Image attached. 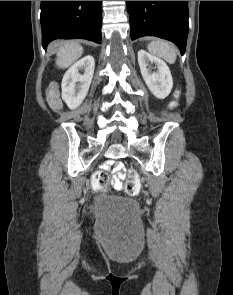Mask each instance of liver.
Wrapping results in <instances>:
<instances>
[{
  "mask_svg": "<svg viewBox=\"0 0 233 295\" xmlns=\"http://www.w3.org/2000/svg\"><path fill=\"white\" fill-rule=\"evenodd\" d=\"M52 46L58 48L56 65L59 68H67L83 54L82 46L75 41H57Z\"/></svg>",
  "mask_w": 233,
  "mask_h": 295,
  "instance_id": "1",
  "label": "liver"
}]
</instances>
